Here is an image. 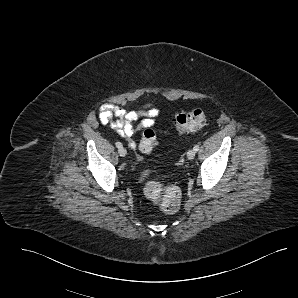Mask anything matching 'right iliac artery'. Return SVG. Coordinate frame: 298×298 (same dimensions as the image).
<instances>
[{
  "label": "right iliac artery",
  "instance_id": "82829eb1",
  "mask_svg": "<svg viewBox=\"0 0 298 298\" xmlns=\"http://www.w3.org/2000/svg\"><path fill=\"white\" fill-rule=\"evenodd\" d=\"M115 145L117 148H122V144L120 142H116Z\"/></svg>",
  "mask_w": 298,
  "mask_h": 298
}]
</instances>
